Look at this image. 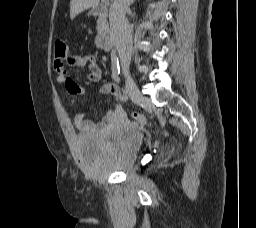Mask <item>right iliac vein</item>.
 <instances>
[{"mask_svg":"<svg viewBox=\"0 0 256 228\" xmlns=\"http://www.w3.org/2000/svg\"><path fill=\"white\" fill-rule=\"evenodd\" d=\"M126 92L130 96L132 101L136 104H139L144 98L137 84L130 76L126 77Z\"/></svg>","mask_w":256,"mask_h":228,"instance_id":"right-iliac-vein-1","label":"right iliac vein"}]
</instances>
